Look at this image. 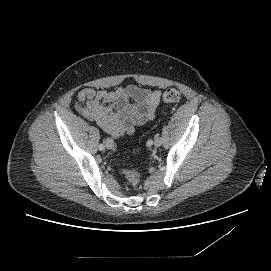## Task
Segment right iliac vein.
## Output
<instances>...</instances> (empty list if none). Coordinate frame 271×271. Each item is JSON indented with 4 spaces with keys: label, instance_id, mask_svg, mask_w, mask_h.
Masks as SVG:
<instances>
[{
    "label": "right iliac vein",
    "instance_id": "obj_1",
    "mask_svg": "<svg viewBox=\"0 0 271 271\" xmlns=\"http://www.w3.org/2000/svg\"><path fill=\"white\" fill-rule=\"evenodd\" d=\"M105 146L107 149H112V147L114 146V142L112 139L108 138L105 140Z\"/></svg>",
    "mask_w": 271,
    "mask_h": 271
}]
</instances>
